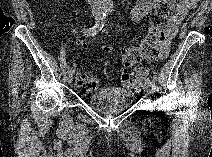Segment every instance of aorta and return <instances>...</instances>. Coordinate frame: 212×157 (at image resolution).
Returning <instances> with one entry per match:
<instances>
[{"instance_id": "762f6f07", "label": "aorta", "mask_w": 212, "mask_h": 157, "mask_svg": "<svg viewBox=\"0 0 212 157\" xmlns=\"http://www.w3.org/2000/svg\"><path fill=\"white\" fill-rule=\"evenodd\" d=\"M107 4H110V1H105Z\"/></svg>"}]
</instances>
